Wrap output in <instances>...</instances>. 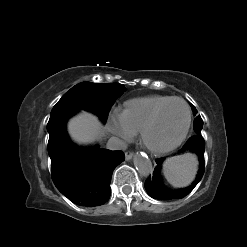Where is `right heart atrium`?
<instances>
[{
  "instance_id": "right-heart-atrium-1",
  "label": "right heart atrium",
  "mask_w": 247,
  "mask_h": 247,
  "mask_svg": "<svg viewBox=\"0 0 247 247\" xmlns=\"http://www.w3.org/2000/svg\"><path fill=\"white\" fill-rule=\"evenodd\" d=\"M109 129L111 133L122 140L131 139L135 132L126 122L122 112L115 111L110 116Z\"/></svg>"
}]
</instances>
